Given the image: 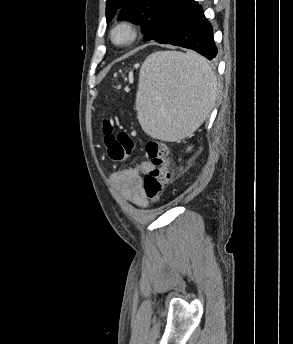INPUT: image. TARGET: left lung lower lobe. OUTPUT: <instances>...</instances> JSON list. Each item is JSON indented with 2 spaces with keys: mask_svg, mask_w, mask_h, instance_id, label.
Instances as JSON below:
<instances>
[{
  "mask_svg": "<svg viewBox=\"0 0 293 344\" xmlns=\"http://www.w3.org/2000/svg\"><path fill=\"white\" fill-rule=\"evenodd\" d=\"M159 43L195 50L209 60L215 58L218 52L212 26L205 18L202 7L194 0L174 30Z\"/></svg>",
  "mask_w": 293,
  "mask_h": 344,
  "instance_id": "left-lung-lower-lobe-1",
  "label": "left lung lower lobe"
}]
</instances>
